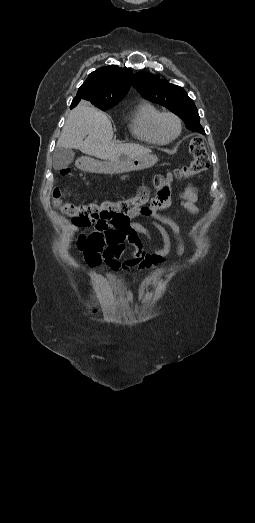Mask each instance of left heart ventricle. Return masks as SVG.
<instances>
[{"label": "left heart ventricle", "instance_id": "obj_1", "mask_svg": "<svg viewBox=\"0 0 255 523\" xmlns=\"http://www.w3.org/2000/svg\"><path fill=\"white\" fill-rule=\"evenodd\" d=\"M163 131L167 137H171L176 134L177 132V125L174 120L171 118H167L163 122Z\"/></svg>", "mask_w": 255, "mask_h": 523}]
</instances>
